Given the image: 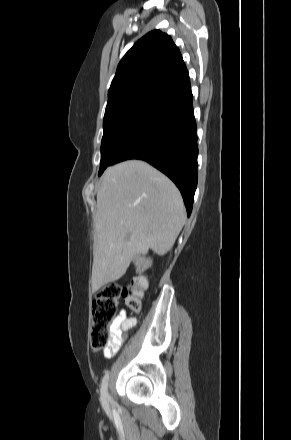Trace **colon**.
<instances>
[{
	"instance_id": "5ec220e1",
	"label": "colon",
	"mask_w": 291,
	"mask_h": 440,
	"mask_svg": "<svg viewBox=\"0 0 291 440\" xmlns=\"http://www.w3.org/2000/svg\"><path fill=\"white\" fill-rule=\"evenodd\" d=\"M144 266L153 264L151 259L144 260ZM148 287L144 276L137 275L130 279L129 285L121 288L117 284L103 286L92 303L89 340L94 350L105 349L110 344L109 328L117 313V301L123 298L127 307L134 313L141 310V302Z\"/></svg>"
}]
</instances>
